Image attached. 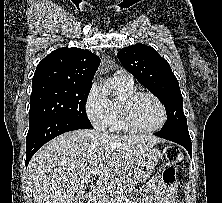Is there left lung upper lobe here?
Returning <instances> with one entry per match:
<instances>
[{"mask_svg": "<svg viewBox=\"0 0 222 203\" xmlns=\"http://www.w3.org/2000/svg\"><path fill=\"white\" fill-rule=\"evenodd\" d=\"M117 56L123 67L164 104L167 122L160 131L188 132L183 97L169 63L141 43L121 49Z\"/></svg>", "mask_w": 222, "mask_h": 203, "instance_id": "1", "label": "left lung upper lobe"}]
</instances>
